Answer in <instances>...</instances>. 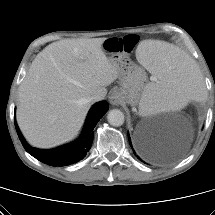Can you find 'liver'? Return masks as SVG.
<instances>
[{"label": "liver", "instance_id": "obj_1", "mask_svg": "<svg viewBox=\"0 0 215 215\" xmlns=\"http://www.w3.org/2000/svg\"><path fill=\"white\" fill-rule=\"evenodd\" d=\"M106 38L65 39L45 47L19 87L16 118L26 140L52 148L73 139L95 93L119 72L102 50Z\"/></svg>", "mask_w": 215, "mask_h": 215}]
</instances>
